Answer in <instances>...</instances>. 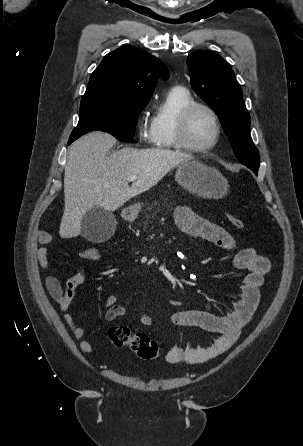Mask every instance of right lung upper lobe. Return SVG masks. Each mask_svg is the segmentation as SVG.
I'll list each match as a JSON object with an SVG mask.
<instances>
[{
  "label": "right lung upper lobe",
  "mask_w": 303,
  "mask_h": 446,
  "mask_svg": "<svg viewBox=\"0 0 303 446\" xmlns=\"http://www.w3.org/2000/svg\"><path fill=\"white\" fill-rule=\"evenodd\" d=\"M168 77L169 71L161 60L141 49L123 46L108 53L94 70L81 106L147 105L157 79Z\"/></svg>",
  "instance_id": "cb5924a9"
}]
</instances>
